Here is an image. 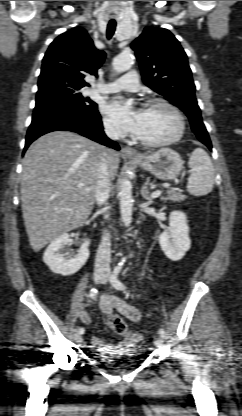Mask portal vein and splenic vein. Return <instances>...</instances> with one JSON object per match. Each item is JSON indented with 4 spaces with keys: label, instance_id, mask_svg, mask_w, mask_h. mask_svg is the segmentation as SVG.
<instances>
[{
    "label": "portal vein and splenic vein",
    "instance_id": "18ae733b",
    "mask_svg": "<svg viewBox=\"0 0 242 416\" xmlns=\"http://www.w3.org/2000/svg\"><path fill=\"white\" fill-rule=\"evenodd\" d=\"M79 187L81 188V187H83V185L82 184H80L79 185ZM161 191L160 190H157V191H155V192H153L152 194H151V197L152 198H158L160 195H161Z\"/></svg>",
    "mask_w": 242,
    "mask_h": 416
}]
</instances>
